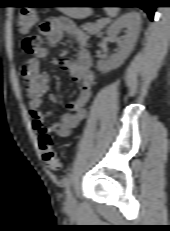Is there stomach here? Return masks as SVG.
<instances>
[{"mask_svg":"<svg viewBox=\"0 0 170 231\" xmlns=\"http://www.w3.org/2000/svg\"><path fill=\"white\" fill-rule=\"evenodd\" d=\"M53 3L57 4H73V1L65 0V1H54ZM75 4V3H74ZM58 9L66 14L67 16L74 18H82L87 15V9L85 7H58Z\"/></svg>","mask_w":170,"mask_h":231,"instance_id":"stomach-1","label":"stomach"}]
</instances>
